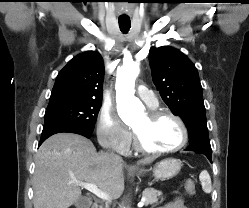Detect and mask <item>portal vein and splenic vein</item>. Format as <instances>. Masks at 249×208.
<instances>
[{
  "instance_id": "portal-vein-and-splenic-vein-1",
  "label": "portal vein and splenic vein",
  "mask_w": 249,
  "mask_h": 208,
  "mask_svg": "<svg viewBox=\"0 0 249 208\" xmlns=\"http://www.w3.org/2000/svg\"><path fill=\"white\" fill-rule=\"evenodd\" d=\"M75 183L77 185L87 189L88 191H90L91 193H93L94 195L99 197L100 199L111 202V197L107 193H105L104 191L100 190L94 183H85V182H80V181H75ZM144 202H145V199H142L138 203V207H143Z\"/></svg>"
}]
</instances>
